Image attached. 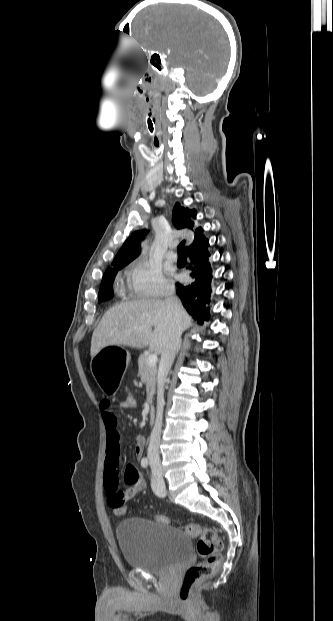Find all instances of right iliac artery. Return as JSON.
Here are the masks:
<instances>
[{
	"label": "right iliac artery",
	"mask_w": 333,
	"mask_h": 621,
	"mask_svg": "<svg viewBox=\"0 0 333 621\" xmlns=\"http://www.w3.org/2000/svg\"><path fill=\"white\" fill-rule=\"evenodd\" d=\"M141 466L143 468H147L148 467V459L146 457L142 458L141 460Z\"/></svg>",
	"instance_id": "obj_1"
}]
</instances>
